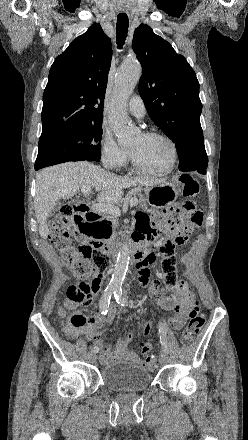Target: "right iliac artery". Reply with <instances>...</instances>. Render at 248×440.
Returning a JSON list of instances; mask_svg holds the SVG:
<instances>
[{
	"label": "right iliac artery",
	"instance_id": "right-iliac-artery-1",
	"mask_svg": "<svg viewBox=\"0 0 248 440\" xmlns=\"http://www.w3.org/2000/svg\"><path fill=\"white\" fill-rule=\"evenodd\" d=\"M115 288L114 287H107L100 299V303H99V307H100V311L101 314L106 315L109 309V304H110V299L112 294L114 293ZM92 351L94 353H97L99 351L98 347L94 346L92 348Z\"/></svg>",
	"mask_w": 248,
	"mask_h": 440
}]
</instances>
